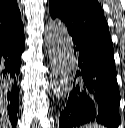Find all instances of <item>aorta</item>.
Segmentation results:
<instances>
[{
  "mask_svg": "<svg viewBox=\"0 0 125 128\" xmlns=\"http://www.w3.org/2000/svg\"><path fill=\"white\" fill-rule=\"evenodd\" d=\"M45 42L53 94L58 100H63L72 90L75 76L76 58L72 38L63 22L51 20L45 27Z\"/></svg>",
  "mask_w": 125,
  "mask_h": 128,
  "instance_id": "762f6f07",
  "label": "aorta"
}]
</instances>
